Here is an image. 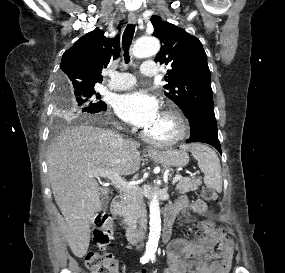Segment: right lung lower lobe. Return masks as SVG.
Wrapping results in <instances>:
<instances>
[{"label": "right lung lower lobe", "mask_w": 285, "mask_h": 273, "mask_svg": "<svg viewBox=\"0 0 285 273\" xmlns=\"http://www.w3.org/2000/svg\"><path fill=\"white\" fill-rule=\"evenodd\" d=\"M107 109V106H106V104L103 106V108H101L100 110H99V112L100 111H105Z\"/></svg>", "instance_id": "obj_1"}]
</instances>
